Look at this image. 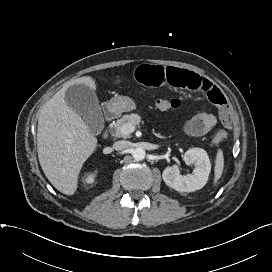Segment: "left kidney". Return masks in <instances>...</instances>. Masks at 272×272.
Returning <instances> with one entry per match:
<instances>
[{"label":"left kidney","instance_id":"5707ae66","mask_svg":"<svg viewBox=\"0 0 272 272\" xmlns=\"http://www.w3.org/2000/svg\"><path fill=\"white\" fill-rule=\"evenodd\" d=\"M183 159L186 164L195 165L194 173L181 175L178 165L169 166L162 174L164 182L179 192H193L204 187L211 172L207 152L201 148H191L185 152Z\"/></svg>","mask_w":272,"mask_h":272}]
</instances>
